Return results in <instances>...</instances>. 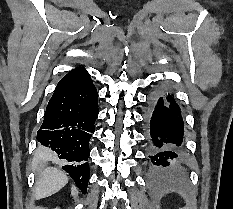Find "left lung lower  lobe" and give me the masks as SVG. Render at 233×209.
<instances>
[{
    "label": "left lung lower lobe",
    "instance_id": "1",
    "mask_svg": "<svg viewBox=\"0 0 233 209\" xmlns=\"http://www.w3.org/2000/svg\"><path fill=\"white\" fill-rule=\"evenodd\" d=\"M184 123L179 106L168 95L158 97L150 118V135L154 148L149 157L156 169H173L180 157Z\"/></svg>",
    "mask_w": 233,
    "mask_h": 209
}]
</instances>
